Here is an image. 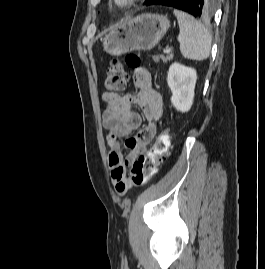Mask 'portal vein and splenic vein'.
Returning a JSON list of instances; mask_svg holds the SVG:
<instances>
[{
  "mask_svg": "<svg viewBox=\"0 0 265 269\" xmlns=\"http://www.w3.org/2000/svg\"><path fill=\"white\" fill-rule=\"evenodd\" d=\"M171 51V48H167L166 50H165V52H170Z\"/></svg>",
  "mask_w": 265,
  "mask_h": 269,
  "instance_id": "18ae733b",
  "label": "portal vein and splenic vein"
}]
</instances>
